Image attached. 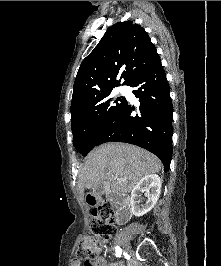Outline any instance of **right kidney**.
<instances>
[{
    "label": "right kidney",
    "instance_id": "ca27d5eb",
    "mask_svg": "<svg viewBox=\"0 0 221 266\" xmlns=\"http://www.w3.org/2000/svg\"><path fill=\"white\" fill-rule=\"evenodd\" d=\"M146 192L148 200L145 204H140L141 193ZM161 193V178L156 174H150L143 177L133 188L131 192V210L137 216H143L149 212L156 204Z\"/></svg>",
    "mask_w": 221,
    "mask_h": 266
}]
</instances>
